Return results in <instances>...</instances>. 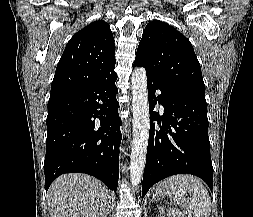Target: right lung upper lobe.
Masks as SVG:
<instances>
[{
    "label": "right lung upper lobe",
    "instance_id": "cb5924a9",
    "mask_svg": "<svg viewBox=\"0 0 253 217\" xmlns=\"http://www.w3.org/2000/svg\"><path fill=\"white\" fill-rule=\"evenodd\" d=\"M115 43L110 26L95 21L68 42L57 65L50 99L80 91L114 72Z\"/></svg>",
    "mask_w": 253,
    "mask_h": 217
}]
</instances>
